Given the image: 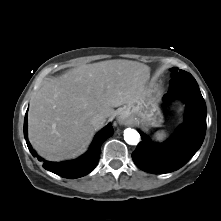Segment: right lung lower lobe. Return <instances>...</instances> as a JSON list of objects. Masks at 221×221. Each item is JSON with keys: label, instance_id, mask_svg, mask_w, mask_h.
<instances>
[{"label": "right lung lower lobe", "instance_id": "obj_1", "mask_svg": "<svg viewBox=\"0 0 221 221\" xmlns=\"http://www.w3.org/2000/svg\"><path fill=\"white\" fill-rule=\"evenodd\" d=\"M113 133L114 130L112 125L108 124L104 129L97 133L94 141L90 146L89 151L78 159L66 162H50L44 160L43 167L46 170L51 171L64 178L75 179L85 176L90 173L97 165L100 156L101 144ZM24 137L26 139V143L31 154L38 157V159L42 161L43 159L37 156L27 139V112L24 119Z\"/></svg>", "mask_w": 221, "mask_h": 221}]
</instances>
